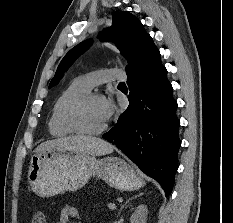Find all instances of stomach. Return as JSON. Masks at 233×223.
<instances>
[{
  "label": "stomach",
  "instance_id": "obj_1",
  "mask_svg": "<svg viewBox=\"0 0 233 223\" xmlns=\"http://www.w3.org/2000/svg\"><path fill=\"white\" fill-rule=\"evenodd\" d=\"M91 177H100L121 191H133L144 185L135 169L121 157L97 159L96 155H85L52 145L42 147L30 159L28 179L32 191L39 197L77 191Z\"/></svg>",
  "mask_w": 233,
  "mask_h": 223
}]
</instances>
